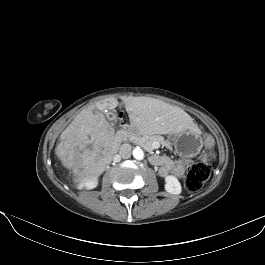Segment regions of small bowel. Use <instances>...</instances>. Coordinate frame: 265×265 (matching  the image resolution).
<instances>
[{"label": "small bowel", "mask_w": 265, "mask_h": 265, "mask_svg": "<svg viewBox=\"0 0 265 265\" xmlns=\"http://www.w3.org/2000/svg\"><path fill=\"white\" fill-rule=\"evenodd\" d=\"M160 159L159 174L161 176H167L172 173L178 177L182 176L185 172L186 166L189 164V159L172 160L166 156H158Z\"/></svg>", "instance_id": "1"}]
</instances>
